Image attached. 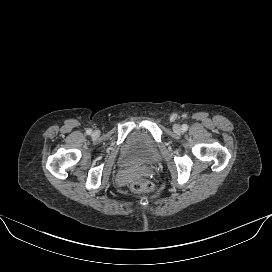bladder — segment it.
Instances as JSON below:
<instances>
[{"mask_svg": "<svg viewBox=\"0 0 272 272\" xmlns=\"http://www.w3.org/2000/svg\"><path fill=\"white\" fill-rule=\"evenodd\" d=\"M160 159L158 145L146 130H135L123 141L119 154V163L124 166L149 165Z\"/></svg>", "mask_w": 272, "mask_h": 272, "instance_id": "31cf9c89", "label": "bladder"}]
</instances>
